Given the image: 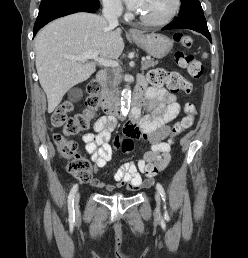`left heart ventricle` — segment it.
Segmentation results:
<instances>
[{"instance_id": "obj_1", "label": "left heart ventricle", "mask_w": 248, "mask_h": 258, "mask_svg": "<svg viewBox=\"0 0 248 258\" xmlns=\"http://www.w3.org/2000/svg\"><path fill=\"white\" fill-rule=\"evenodd\" d=\"M174 8V0H143L139 13L149 20H161Z\"/></svg>"}]
</instances>
